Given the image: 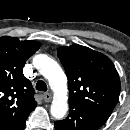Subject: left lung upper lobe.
I'll list each match as a JSON object with an SVG mask.
<instances>
[{
  "mask_svg": "<svg viewBox=\"0 0 130 130\" xmlns=\"http://www.w3.org/2000/svg\"><path fill=\"white\" fill-rule=\"evenodd\" d=\"M70 91L69 106L86 107L109 117L120 94V78L104 54L81 45L58 49Z\"/></svg>",
  "mask_w": 130,
  "mask_h": 130,
  "instance_id": "obj_1",
  "label": "left lung upper lobe"
}]
</instances>
